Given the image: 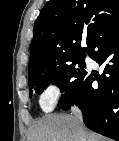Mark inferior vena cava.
<instances>
[{"instance_id": "obj_1", "label": "inferior vena cava", "mask_w": 119, "mask_h": 141, "mask_svg": "<svg viewBox=\"0 0 119 141\" xmlns=\"http://www.w3.org/2000/svg\"><path fill=\"white\" fill-rule=\"evenodd\" d=\"M71 112L75 116V118L82 123V112L80 111V109L76 106H73L71 107Z\"/></svg>"}]
</instances>
